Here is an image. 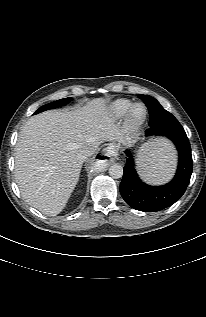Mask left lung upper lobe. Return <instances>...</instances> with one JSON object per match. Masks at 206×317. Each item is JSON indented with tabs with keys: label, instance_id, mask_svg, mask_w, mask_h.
I'll use <instances>...</instances> for the list:
<instances>
[{
	"label": "left lung upper lobe",
	"instance_id": "obj_1",
	"mask_svg": "<svg viewBox=\"0 0 206 317\" xmlns=\"http://www.w3.org/2000/svg\"><path fill=\"white\" fill-rule=\"evenodd\" d=\"M139 97L145 102L150 114V128L146 130L148 134L184 131L178 120L166 111L155 98L149 95H139Z\"/></svg>",
	"mask_w": 206,
	"mask_h": 317
}]
</instances>
